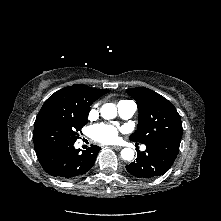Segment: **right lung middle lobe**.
<instances>
[{"label": "right lung middle lobe", "mask_w": 221, "mask_h": 221, "mask_svg": "<svg viewBox=\"0 0 221 221\" xmlns=\"http://www.w3.org/2000/svg\"><path fill=\"white\" fill-rule=\"evenodd\" d=\"M87 118L88 111L72 112L60 103L44 104L34 124L36 154L56 146L75 143Z\"/></svg>", "instance_id": "obj_1"}]
</instances>
